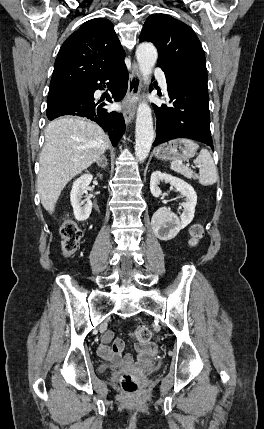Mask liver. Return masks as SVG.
Returning <instances> with one entry per match:
<instances>
[{
	"mask_svg": "<svg viewBox=\"0 0 264 429\" xmlns=\"http://www.w3.org/2000/svg\"><path fill=\"white\" fill-rule=\"evenodd\" d=\"M109 146L108 136L96 123L79 117H61L45 129L37 190L52 214L67 183L96 162Z\"/></svg>",
	"mask_w": 264,
	"mask_h": 429,
	"instance_id": "liver-1",
	"label": "liver"
}]
</instances>
